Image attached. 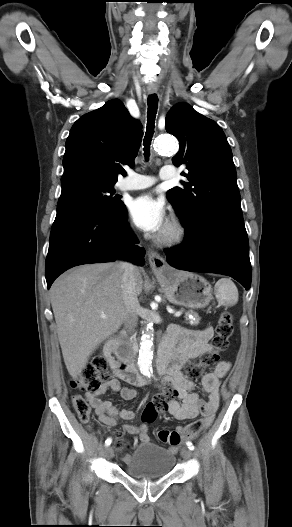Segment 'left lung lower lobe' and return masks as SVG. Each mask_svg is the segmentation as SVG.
Returning <instances> with one entry per match:
<instances>
[{"label":"left lung lower lobe","mask_w":292,"mask_h":527,"mask_svg":"<svg viewBox=\"0 0 292 527\" xmlns=\"http://www.w3.org/2000/svg\"><path fill=\"white\" fill-rule=\"evenodd\" d=\"M185 229L182 245L165 250L171 266L224 274L237 280L246 290L250 288L249 243L243 218H208Z\"/></svg>","instance_id":"obj_1"}]
</instances>
